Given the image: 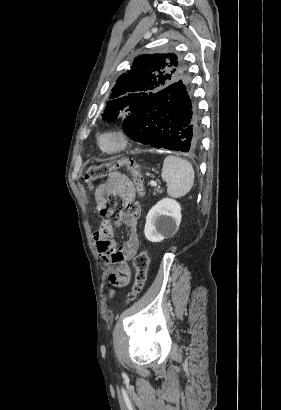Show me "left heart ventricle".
<instances>
[{
    "label": "left heart ventricle",
    "instance_id": "1",
    "mask_svg": "<svg viewBox=\"0 0 281 410\" xmlns=\"http://www.w3.org/2000/svg\"><path fill=\"white\" fill-rule=\"evenodd\" d=\"M106 146H110L112 144V142L110 140H106L104 143Z\"/></svg>",
    "mask_w": 281,
    "mask_h": 410
}]
</instances>
